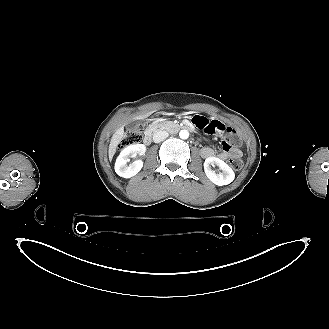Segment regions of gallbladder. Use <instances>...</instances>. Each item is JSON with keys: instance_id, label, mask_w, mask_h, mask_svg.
<instances>
[{"instance_id": "obj_1", "label": "gallbladder", "mask_w": 329, "mask_h": 329, "mask_svg": "<svg viewBox=\"0 0 329 329\" xmlns=\"http://www.w3.org/2000/svg\"><path fill=\"white\" fill-rule=\"evenodd\" d=\"M140 123H141V122H139V121H131V122L127 125V127H128L129 129H134V128L137 127Z\"/></svg>"}]
</instances>
